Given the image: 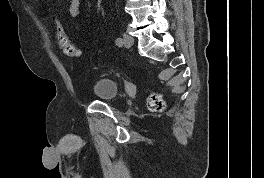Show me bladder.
I'll list each match as a JSON object with an SVG mask.
<instances>
[{"mask_svg":"<svg viewBox=\"0 0 264 178\" xmlns=\"http://www.w3.org/2000/svg\"><path fill=\"white\" fill-rule=\"evenodd\" d=\"M92 94L101 101L112 103L119 96L118 85L109 78H102L92 86Z\"/></svg>","mask_w":264,"mask_h":178,"instance_id":"1","label":"bladder"}]
</instances>
